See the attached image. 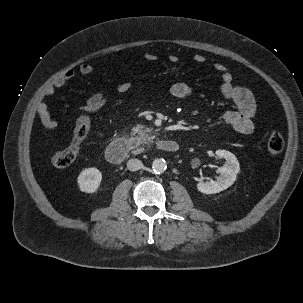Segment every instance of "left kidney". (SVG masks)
<instances>
[{
	"instance_id": "obj_1",
	"label": "left kidney",
	"mask_w": 303,
	"mask_h": 303,
	"mask_svg": "<svg viewBox=\"0 0 303 303\" xmlns=\"http://www.w3.org/2000/svg\"><path fill=\"white\" fill-rule=\"evenodd\" d=\"M215 154L220 158H224L225 164L218 169L220 176L217 180L211 179L197 184L198 191L203 194H215L227 189L235 182L240 171L239 162L233 153L227 150H217Z\"/></svg>"
}]
</instances>
